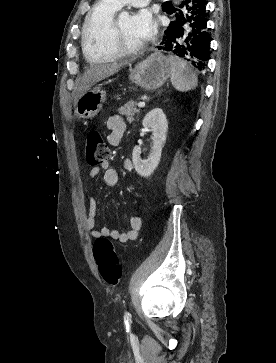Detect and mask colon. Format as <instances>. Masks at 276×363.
<instances>
[{
  "mask_svg": "<svg viewBox=\"0 0 276 363\" xmlns=\"http://www.w3.org/2000/svg\"><path fill=\"white\" fill-rule=\"evenodd\" d=\"M109 150L101 134L97 130L89 131L86 139V159L90 165L99 166L107 161ZM93 255L99 273L104 281L116 285L122 276V268L113 243L105 238L96 239Z\"/></svg>",
  "mask_w": 276,
  "mask_h": 363,
  "instance_id": "obj_1",
  "label": "colon"
}]
</instances>
